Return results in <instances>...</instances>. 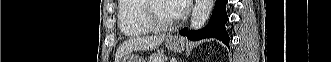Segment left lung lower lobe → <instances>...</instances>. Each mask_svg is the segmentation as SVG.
<instances>
[{
  "label": "left lung lower lobe",
  "instance_id": "obj_1",
  "mask_svg": "<svg viewBox=\"0 0 331 62\" xmlns=\"http://www.w3.org/2000/svg\"><path fill=\"white\" fill-rule=\"evenodd\" d=\"M227 2L228 0H216L212 16L204 28L197 31H187V28H184L179 33L193 41L214 37L229 45V36L225 29V24L228 21L226 13Z\"/></svg>",
  "mask_w": 331,
  "mask_h": 62
}]
</instances>
